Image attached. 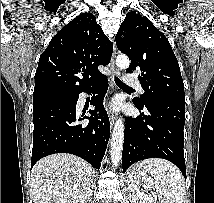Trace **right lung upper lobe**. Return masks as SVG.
<instances>
[{"mask_svg": "<svg viewBox=\"0 0 214 203\" xmlns=\"http://www.w3.org/2000/svg\"><path fill=\"white\" fill-rule=\"evenodd\" d=\"M113 44L91 13L65 25L39 58L33 99L83 89L103 76L99 65L110 62Z\"/></svg>", "mask_w": 214, "mask_h": 203, "instance_id": "1", "label": "right lung upper lobe"}]
</instances>
